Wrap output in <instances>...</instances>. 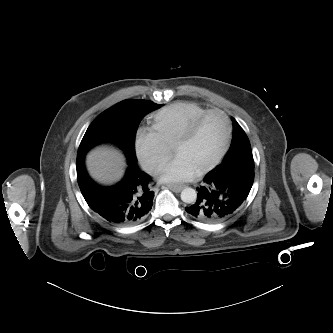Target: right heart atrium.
I'll use <instances>...</instances> for the list:
<instances>
[{
  "mask_svg": "<svg viewBox=\"0 0 333 333\" xmlns=\"http://www.w3.org/2000/svg\"><path fill=\"white\" fill-rule=\"evenodd\" d=\"M135 149L143 167L156 173L167 159L170 147L153 128H140L136 134Z\"/></svg>",
  "mask_w": 333,
  "mask_h": 333,
  "instance_id": "d8ad5b80",
  "label": "right heart atrium"
}]
</instances>
